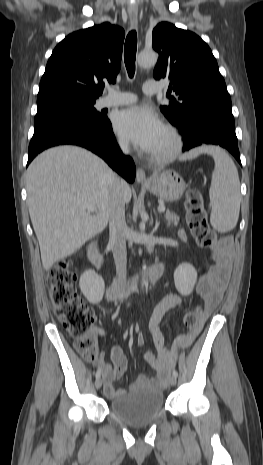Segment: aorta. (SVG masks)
I'll list each match as a JSON object with an SVG mask.
<instances>
[{
  "label": "aorta",
  "instance_id": "762f6f07",
  "mask_svg": "<svg viewBox=\"0 0 263 465\" xmlns=\"http://www.w3.org/2000/svg\"><path fill=\"white\" fill-rule=\"evenodd\" d=\"M158 55L153 51H142L137 57V62L140 67H152L157 63ZM146 269V266L143 267ZM147 285V280L143 278L142 287Z\"/></svg>",
  "mask_w": 263,
  "mask_h": 465
}]
</instances>
